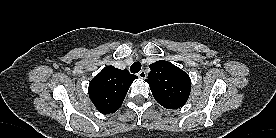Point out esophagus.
Masks as SVG:
<instances>
[{
    "label": "esophagus",
    "mask_w": 276,
    "mask_h": 138,
    "mask_svg": "<svg viewBox=\"0 0 276 138\" xmlns=\"http://www.w3.org/2000/svg\"><path fill=\"white\" fill-rule=\"evenodd\" d=\"M138 77L141 78V79H145L147 77L146 72L144 70H141L138 73Z\"/></svg>",
    "instance_id": "1"
}]
</instances>
